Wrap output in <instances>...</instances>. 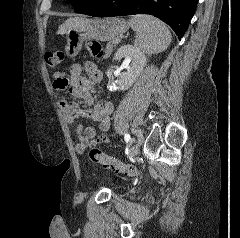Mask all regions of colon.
<instances>
[{"label":"colon","instance_id":"colon-1","mask_svg":"<svg viewBox=\"0 0 240 238\" xmlns=\"http://www.w3.org/2000/svg\"><path fill=\"white\" fill-rule=\"evenodd\" d=\"M86 49L94 57H100L102 55L101 43L97 40H89L86 42ZM64 58V54L60 51H52L45 54V62L48 66L54 67L58 65ZM89 158L91 161L101 164L103 167L114 170L119 173H123L129 176H136L140 174V171L131 164H126L111 156L106 155L97 148H92L89 151Z\"/></svg>","mask_w":240,"mask_h":238}]
</instances>
